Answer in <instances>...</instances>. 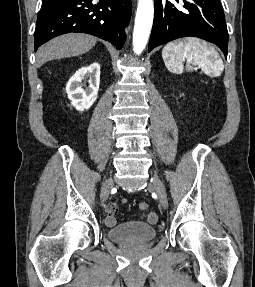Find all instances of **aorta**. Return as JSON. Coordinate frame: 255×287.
I'll return each instance as SVG.
<instances>
[{"label":"aorta","instance_id":"1","mask_svg":"<svg viewBox=\"0 0 255 287\" xmlns=\"http://www.w3.org/2000/svg\"><path fill=\"white\" fill-rule=\"evenodd\" d=\"M154 15L153 0H139L133 32V50L140 54L148 42Z\"/></svg>","mask_w":255,"mask_h":287}]
</instances>
